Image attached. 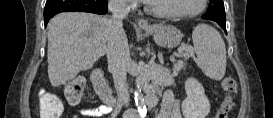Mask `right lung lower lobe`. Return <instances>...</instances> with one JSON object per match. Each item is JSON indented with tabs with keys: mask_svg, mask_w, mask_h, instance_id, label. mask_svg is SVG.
<instances>
[{
	"mask_svg": "<svg viewBox=\"0 0 273 118\" xmlns=\"http://www.w3.org/2000/svg\"><path fill=\"white\" fill-rule=\"evenodd\" d=\"M107 4V0H47L44 9L45 27L50 18L61 12L81 11L106 15Z\"/></svg>",
	"mask_w": 273,
	"mask_h": 118,
	"instance_id": "1",
	"label": "right lung lower lobe"
}]
</instances>
